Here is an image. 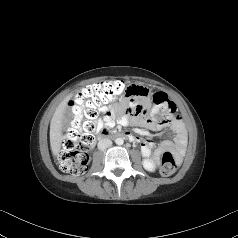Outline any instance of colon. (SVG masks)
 <instances>
[{
  "label": "colon",
  "instance_id": "5ec220e1",
  "mask_svg": "<svg viewBox=\"0 0 238 238\" xmlns=\"http://www.w3.org/2000/svg\"><path fill=\"white\" fill-rule=\"evenodd\" d=\"M130 88L121 81H102L81 89L72 101L75 119L64 143L57 164L61 171L73 175L85 172L88 163V150L94 141L97 127L94 119L99 108L121 95L128 96ZM152 119L168 122L175 117L176 106L166 94L158 92L153 96ZM84 116L83 122L80 117ZM174 155L167 151L162 154L160 172L164 176L172 175L176 170Z\"/></svg>",
  "mask_w": 238,
  "mask_h": 238
}]
</instances>
